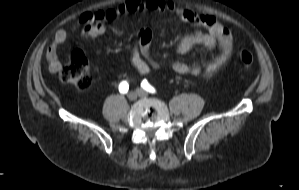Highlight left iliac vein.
<instances>
[{"label":"left iliac vein","mask_w":299,"mask_h":190,"mask_svg":"<svg viewBox=\"0 0 299 190\" xmlns=\"http://www.w3.org/2000/svg\"><path fill=\"white\" fill-rule=\"evenodd\" d=\"M137 93L140 97H147L148 93L146 91H144L143 89H138Z\"/></svg>","instance_id":"1"}]
</instances>
